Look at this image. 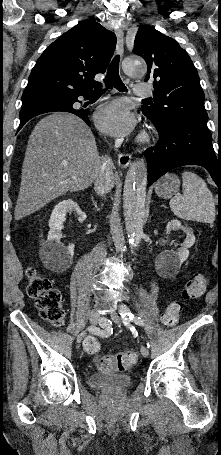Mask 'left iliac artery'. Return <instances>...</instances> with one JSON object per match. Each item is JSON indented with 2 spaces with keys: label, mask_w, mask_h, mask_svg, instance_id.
Here are the masks:
<instances>
[{
  "label": "left iliac artery",
  "mask_w": 221,
  "mask_h": 455,
  "mask_svg": "<svg viewBox=\"0 0 221 455\" xmlns=\"http://www.w3.org/2000/svg\"><path fill=\"white\" fill-rule=\"evenodd\" d=\"M120 315L124 324H128L130 321H133L135 324L143 325L142 319L140 317L134 316L126 305H121ZM147 346H150L149 343H147Z\"/></svg>",
  "instance_id": "obj_1"
}]
</instances>
